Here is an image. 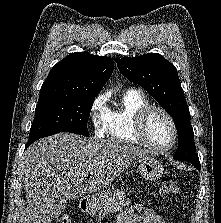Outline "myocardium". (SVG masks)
I'll return each mask as SVG.
<instances>
[{
  "mask_svg": "<svg viewBox=\"0 0 221 223\" xmlns=\"http://www.w3.org/2000/svg\"><path fill=\"white\" fill-rule=\"evenodd\" d=\"M154 112L162 113L169 120L171 124L173 130V138L171 142L166 146H157L153 144L146 135L147 121L151 116V114ZM132 131L134 136L137 138L139 142H141L149 149L159 152H166L172 149L177 143L179 137L178 127L172 114L165 108L156 105L146 106L137 113Z\"/></svg>",
  "mask_w": 221,
  "mask_h": 223,
  "instance_id": "1",
  "label": "myocardium"
}]
</instances>
